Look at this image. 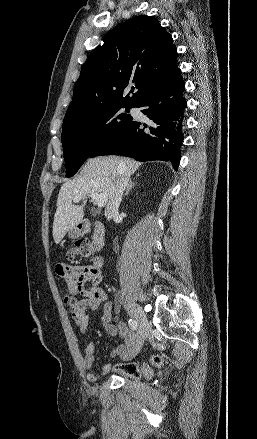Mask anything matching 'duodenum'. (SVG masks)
Listing matches in <instances>:
<instances>
[{
  "mask_svg": "<svg viewBox=\"0 0 257 439\" xmlns=\"http://www.w3.org/2000/svg\"><path fill=\"white\" fill-rule=\"evenodd\" d=\"M78 230L80 234H86L91 231L93 244L97 249H101L104 246L105 229L102 223L82 221L78 226ZM102 263V258L100 256H97L94 258L93 267L100 268L102 266Z\"/></svg>",
  "mask_w": 257,
  "mask_h": 439,
  "instance_id": "410a0bca",
  "label": "duodenum"
}]
</instances>
